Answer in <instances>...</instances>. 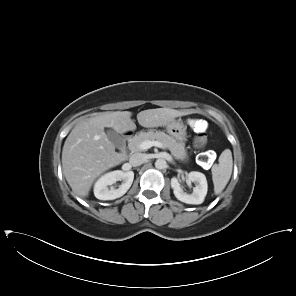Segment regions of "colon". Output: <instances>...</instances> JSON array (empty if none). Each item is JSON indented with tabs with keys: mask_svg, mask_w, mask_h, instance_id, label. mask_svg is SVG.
Segmentation results:
<instances>
[{
	"mask_svg": "<svg viewBox=\"0 0 296 296\" xmlns=\"http://www.w3.org/2000/svg\"><path fill=\"white\" fill-rule=\"evenodd\" d=\"M189 126L194 132V142L197 147H203L207 143L206 124L202 120L193 119L189 121ZM201 163H207L210 160L209 153H203L199 156Z\"/></svg>",
	"mask_w": 296,
	"mask_h": 296,
	"instance_id": "1",
	"label": "colon"
}]
</instances>
